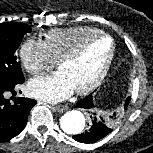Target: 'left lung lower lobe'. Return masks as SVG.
Masks as SVG:
<instances>
[{"mask_svg":"<svg viewBox=\"0 0 153 153\" xmlns=\"http://www.w3.org/2000/svg\"><path fill=\"white\" fill-rule=\"evenodd\" d=\"M130 99V97L126 99L124 109L127 108ZM77 106L92 112L95 107L93 104L92 94L78 101ZM91 119V123L88 124L89 128L84 133L74 135V140L81 143H93L102 139L112 131V127L107 123V120L105 118L101 116L98 117L96 113H92Z\"/></svg>","mask_w":153,"mask_h":153,"instance_id":"obj_1","label":"left lung lower lobe"}]
</instances>
